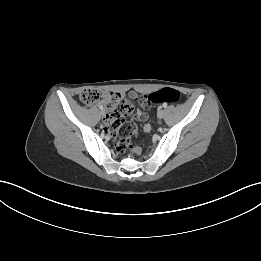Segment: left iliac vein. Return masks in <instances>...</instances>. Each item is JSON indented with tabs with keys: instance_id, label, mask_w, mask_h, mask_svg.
<instances>
[{
	"instance_id": "obj_1",
	"label": "left iliac vein",
	"mask_w": 261,
	"mask_h": 261,
	"mask_svg": "<svg viewBox=\"0 0 261 261\" xmlns=\"http://www.w3.org/2000/svg\"><path fill=\"white\" fill-rule=\"evenodd\" d=\"M164 110L163 109H160L159 111H158V117L161 119V118H163V116H164Z\"/></svg>"
}]
</instances>
